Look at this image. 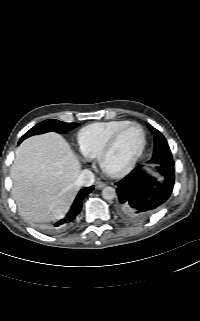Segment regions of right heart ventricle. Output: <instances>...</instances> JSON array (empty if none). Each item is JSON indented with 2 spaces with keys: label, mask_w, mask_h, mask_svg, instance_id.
I'll use <instances>...</instances> for the list:
<instances>
[{
  "label": "right heart ventricle",
  "mask_w": 200,
  "mask_h": 321,
  "mask_svg": "<svg viewBox=\"0 0 200 321\" xmlns=\"http://www.w3.org/2000/svg\"><path fill=\"white\" fill-rule=\"evenodd\" d=\"M128 120H111L91 123L81 128L77 134V142L81 154L86 158L98 157L106 142Z\"/></svg>",
  "instance_id": "e07e8e85"
}]
</instances>
